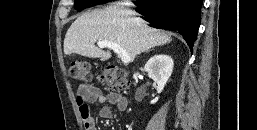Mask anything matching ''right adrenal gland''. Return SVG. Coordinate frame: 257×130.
Listing matches in <instances>:
<instances>
[{"mask_svg":"<svg viewBox=\"0 0 257 130\" xmlns=\"http://www.w3.org/2000/svg\"><path fill=\"white\" fill-rule=\"evenodd\" d=\"M151 50L146 51V53H149Z\"/></svg>","mask_w":257,"mask_h":130,"instance_id":"right-adrenal-gland-1","label":"right adrenal gland"}]
</instances>
